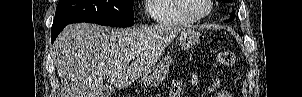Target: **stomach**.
<instances>
[{"mask_svg": "<svg viewBox=\"0 0 302 97\" xmlns=\"http://www.w3.org/2000/svg\"><path fill=\"white\" fill-rule=\"evenodd\" d=\"M200 35L195 30H185L177 35V43L183 48L187 49L198 44ZM172 59L170 56H166L158 64L153 66L146 74H144L139 83L146 87L158 86L166 77L169 72Z\"/></svg>", "mask_w": 302, "mask_h": 97, "instance_id": "stomach-1", "label": "stomach"}]
</instances>
